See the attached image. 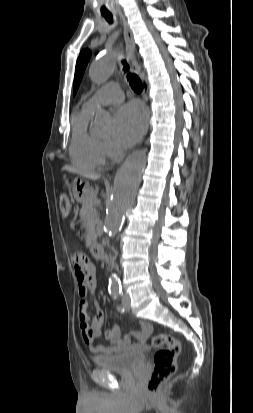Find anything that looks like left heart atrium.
Here are the masks:
<instances>
[{
    "label": "left heart atrium",
    "instance_id": "1",
    "mask_svg": "<svg viewBox=\"0 0 253 413\" xmlns=\"http://www.w3.org/2000/svg\"><path fill=\"white\" fill-rule=\"evenodd\" d=\"M146 128V112L136 102H131L119 109L116 115L115 138L122 146L135 143Z\"/></svg>",
    "mask_w": 253,
    "mask_h": 413
}]
</instances>
